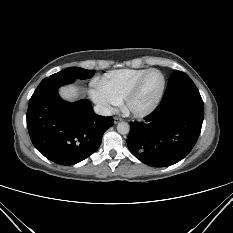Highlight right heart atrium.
<instances>
[{"instance_id":"right-heart-atrium-1","label":"right heart atrium","mask_w":233,"mask_h":233,"mask_svg":"<svg viewBox=\"0 0 233 233\" xmlns=\"http://www.w3.org/2000/svg\"><path fill=\"white\" fill-rule=\"evenodd\" d=\"M89 95L98 107L106 113L110 112L114 106L119 104V102L97 81L89 90Z\"/></svg>"}]
</instances>
